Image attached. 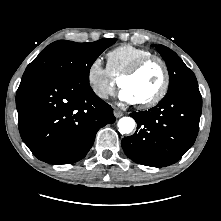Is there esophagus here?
I'll use <instances>...</instances> for the list:
<instances>
[{"label": "esophagus", "instance_id": "obj_1", "mask_svg": "<svg viewBox=\"0 0 221 221\" xmlns=\"http://www.w3.org/2000/svg\"><path fill=\"white\" fill-rule=\"evenodd\" d=\"M114 116H115L116 118H120L121 116H123V112H122L120 109L115 108V109H114Z\"/></svg>", "mask_w": 221, "mask_h": 221}]
</instances>
